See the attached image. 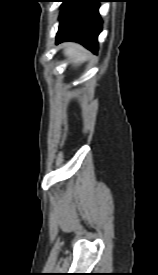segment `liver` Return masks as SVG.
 <instances>
[{
    "mask_svg": "<svg viewBox=\"0 0 158 275\" xmlns=\"http://www.w3.org/2000/svg\"><path fill=\"white\" fill-rule=\"evenodd\" d=\"M64 54L69 56L75 65H80L87 59V54L79 45L69 44L64 49Z\"/></svg>",
    "mask_w": 158,
    "mask_h": 275,
    "instance_id": "liver-1",
    "label": "liver"
}]
</instances>
